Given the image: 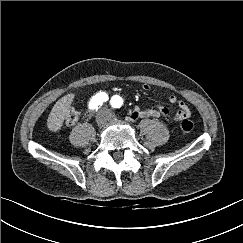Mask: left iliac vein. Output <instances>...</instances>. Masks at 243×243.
I'll use <instances>...</instances> for the list:
<instances>
[{"instance_id":"4c4485c4","label":"left iliac vein","mask_w":243,"mask_h":243,"mask_svg":"<svg viewBox=\"0 0 243 243\" xmlns=\"http://www.w3.org/2000/svg\"><path fill=\"white\" fill-rule=\"evenodd\" d=\"M107 115L110 120L114 118V116L110 112H107Z\"/></svg>"}]
</instances>
